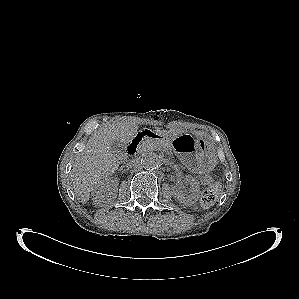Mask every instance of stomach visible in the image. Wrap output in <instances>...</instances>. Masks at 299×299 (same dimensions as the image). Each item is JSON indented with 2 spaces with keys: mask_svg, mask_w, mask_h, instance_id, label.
<instances>
[{
  "mask_svg": "<svg viewBox=\"0 0 299 299\" xmlns=\"http://www.w3.org/2000/svg\"><path fill=\"white\" fill-rule=\"evenodd\" d=\"M169 145L172 146L183 164L193 171H207L213 164V155L209 149L205 148L204 142L191 135L185 134L173 138L169 141Z\"/></svg>",
  "mask_w": 299,
  "mask_h": 299,
  "instance_id": "obj_1",
  "label": "stomach"
}]
</instances>
